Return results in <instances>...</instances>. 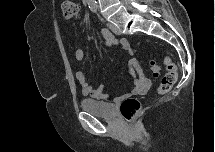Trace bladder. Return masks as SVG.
I'll use <instances>...</instances> for the list:
<instances>
[{
	"mask_svg": "<svg viewBox=\"0 0 215 152\" xmlns=\"http://www.w3.org/2000/svg\"><path fill=\"white\" fill-rule=\"evenodd\" d=\"M81 107L86 112L104 118H113L116 115L114 104L108 102L84 98L81 100Z\"/></svg>",
	"mask_w": 215,
	"mask_h": 152,
	"instance_id": "31cf9c89",
	"label": "bladder"
}]
</instances>
